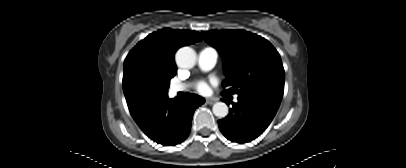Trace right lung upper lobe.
<instances>
[{"label": "right lung upper lobe", "instance_id": "right-lung-upper-lobe-1", "mask_svg": "<svg viewBox=\"0 0 406 168\" xmlns=\"http://www.w3.org/2000/svg\"><path fill=\"white\" fill-rule=\"evenodd\" d=\"M196 31L164 28L141 40L124 61L123 90L132 114L142 106L138 101L136 88L143 77L171 79L176 74L174 54L178 48L201 40Z\"/></svg>", "mask_w": 406, "mask_h": 168}]
</instances>
